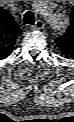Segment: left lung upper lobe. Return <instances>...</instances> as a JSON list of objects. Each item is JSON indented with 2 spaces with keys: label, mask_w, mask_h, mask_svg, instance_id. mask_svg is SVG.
<instances>
[{
  "label": "left lung upper lobe",
  "mask_w": 74,
  "mask_h": 122,
  "mask_svg": "<svg viewBox=\"0 0 74 122\" xmlns=\"http://www.w3.org/2000/svg\"><path fill=\"white\" fill-rule=\"evenodd\" d=\"M55 42L63 54L74 57V10L71 12L70 26L65 34L58 37Z\"/></svg>",
  "instance_id": "left-lung-upper-lobe-1"
}]
</instances>
